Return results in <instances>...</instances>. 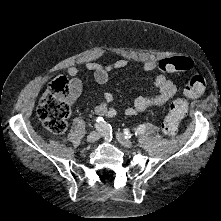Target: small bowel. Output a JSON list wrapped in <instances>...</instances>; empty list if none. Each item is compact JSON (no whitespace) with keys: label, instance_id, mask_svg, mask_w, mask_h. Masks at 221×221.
<instances>
[{"label":"small bowel","instance_id":"small-bowel-1","mask_svg":"<svg viewBox=\"0 0 221 221\" xmlns=\"http://www.w3.org/2000/svg\"><path fill=\"white\" fill-rule=\"evenodd\" d=\"M129 62L130 61L126 58L117 60L109 65L88 62L85 64V68L94 74V78L97 83L105 84L108 81L110 72L126 67ZM157 68L158 63L154 60H147L142 65L143 72H152ZM67 74L72 78L71 85L75 92V96L79 95L82 88V82L78 78V69L75 66H69L67 68ZM154 87L157 90L156 94L137 97L132 106L126 108L125 114L127 116H134L150 107L163 105L170 101L177 91L174 82L168 79L164 73H159L156 76L154 80ZM113 100L114 97L110 92H104L103 101L94 109L95 114L108 118L115 117L117 115V109L111 105Z\"/></svg>","mask_w":221,"mask_h":221}]
</instances>
